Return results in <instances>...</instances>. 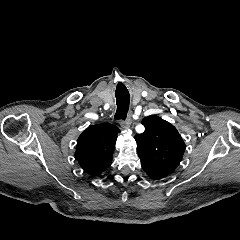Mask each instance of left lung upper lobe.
<instances>
[{"instance_id":"left-lung-upper-lobe-1","label":"left lung upper lobe","mask_w":240,"mask_h":240,"mask_svg":"<svg viewBox=\"0 0 240 240\" xmlns=\"http://www.w3.org/2000/svg\"><path fill=\"white\" fill-rule=\"evenodd\" d=\"M142 124L145 131L135 135L142 168L148 175L165 178L181 162L185 143L172 124L156 115L145 117Z\"/></svg>"}]
</instances>
